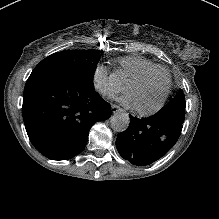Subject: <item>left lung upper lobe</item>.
I'll return each mask as SVG.
<instances>
[{
  "mask_svg": "<svg viewBox=\"0 0 219 219\" xmlns=\"http://www.w3.org/2000/svg\"><path fill=\"white\" fill-rule=\"evenodd\" d=\"M155 115L171 118L177 122L183 123L185 115V98L183 92L180 90L177 95Z\"/></svg>",
  "mask_w": 219,
  "mask_h": 219,
  "instance_id": "left-lung-upper-lobe-1",
  "label": "left lung upper lobe"
}]
</instances>
